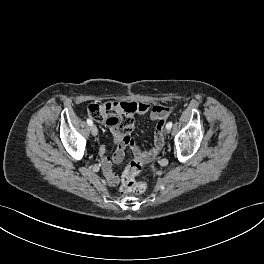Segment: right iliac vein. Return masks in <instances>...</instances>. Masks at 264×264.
Here are the masks:
<instances>
[{
	"instance_id": "obj_1",
	"label": "right iliac vein",
	"mask_w": 264,
	"mask_h": 264,
	"mask_svg": "<svg viewBox=\"0 0 264 264\" xmlns=\"http://www.w3.org/2000/svg\"><path fill=\"white\" fill-rule=\"evenodd\" d=\"M90 130H91V134H92L93 136H97V134H98V129H97V127H96L95 125H91Z\"/></svg>"
}]
</instances>
